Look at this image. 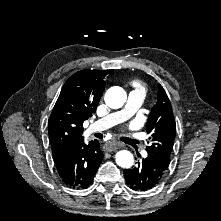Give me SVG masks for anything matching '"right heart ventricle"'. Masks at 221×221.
Segmentation results:
<instances>
[{"mask_svg": "<svg viewBox=\"0 0 221 221\" xmlns=\"http://www.w3.org/2000/svg\"><path fill=\"white\" fill-rule=\"evenodd\" d=\"M135 85H136V87H137L138 90H141L142 92H144V86L142 85L141 82L136 81V82H135Z\"/></svg>", "mask_w": 221, "mask_h": 221, "instance_id": "e07e8e85", "label": "right heart ventricle"}]
</instances>
